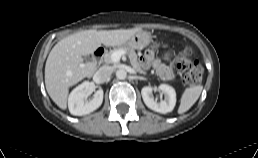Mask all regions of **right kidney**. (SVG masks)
Wrapping results in <instances>:
<instances>
[{
	"label": "right kidney",
	"instance_id": "1",
	"mask_svg": "<svg viewBox=\"0 0 258 158\" xmlns=\"http://www.w3.org/2000/svg\"><path fill=\"white\" fill-rule=\"evenodd\" d=\"M92 84L88 81L77 86L69 95L68 108L72 115L83 116L98 109L103 102V90L99 89L90 101L84 98L90 93Z\"/></svg>",
	"mask_w": 258,
	"mask_h": 158
}]
</instances>
